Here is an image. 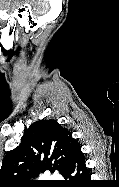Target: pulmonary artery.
<instances>
[{
    "mask_svg": "<svg viewBox=\"0 0 119 187\" xmlns=\"http://www.w3.org/2000/svg\"><path fill=\"white\" fill-rule=\"evenodd\" d=\"M50 178H54L55 179V178H59V176L57 174H53V175L50 176Z\"/></svg>",
    "mask_w": 119,
    "mask_h": 187,
    "instance_id": "e3ab8cb5",
    "label": "pulmonary artery"
}]
</instances>
